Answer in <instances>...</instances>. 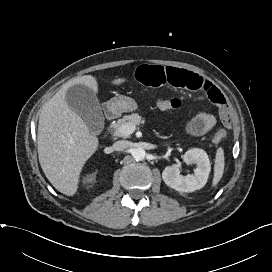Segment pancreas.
<instances>
[{
	"instance_id": "pancreas-1",
	"label": "pancreas",
	"mask_w": 272,
	"mask_h": 272,
	"mask_svg": "<svg viewBox=\"0 0 272 272\" xmlns=\"http://www.w3.org/2000/svg\"><path fill=\"white\" fill-rule=\"evenodd\" d=\"M127 123H130L134 126L144 124L145 120L139 115V114H131V115H126L123 118L119 119L116 123L112 125L114 129L115 136L118 137H123V138H128L129 135H123L119 132V128L122 125H125Z\"/></svg>"
}]
</instances>
